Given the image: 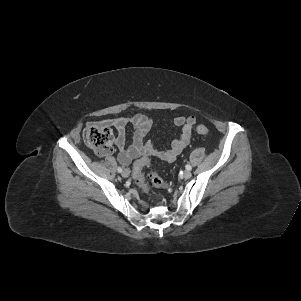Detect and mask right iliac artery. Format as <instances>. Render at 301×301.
Masks as SVG:
<instances>
[{
	"label": "right iliac artery",
	"instance_id": "1",
	"mask_svg": "<svg viewBox=\"0 0 301 301\" xmlns=\"http://www.w3.org/2000/svg\"><path fill=\"white\" fill-rule=\"evenodd\" d=\"M117 170H118V172H122V168L119 166L118 168H117Z\"/></svg>",
	"mask_w": 301,
	"mask_h": 301
}]
</instances>
